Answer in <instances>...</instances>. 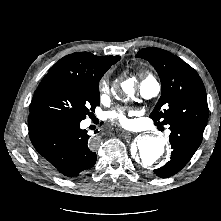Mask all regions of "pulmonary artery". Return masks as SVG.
I'll use <instances>...</instances> for the list:
<instances>
[{
    "instance_id": "e3ab8cb5",
    "label": "pulmonary artery",
    "mask_w": 221,
    "mask_h": 221,
    "mask_svg": "<svg viewBox=\"0 0 221 221\" xmlns=\"http://www.w3.org/2000/svg\"><path fill=\"white\" fill-rule=\"evenodd\" d=\"M160 91V84L153 76H148L141 84V95L146 99L155 97ZM170 132L167 131V134Z\"/></svg>"
}]
</instances>
